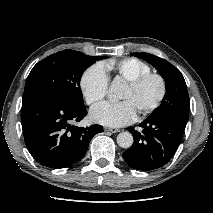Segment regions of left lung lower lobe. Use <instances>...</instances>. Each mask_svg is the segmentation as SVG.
<instances>
[{"label":"left lung lower lobe","mask_w":213,"mask_h":213,"mask_svg":"<svg viewBox=\"0 0 213 213\" xmlns=\"http://www.w3.org/2000/svg\"><path fill=\"white\" fill-rule=\"evenodd\" d=\"M188 119L167 114L144 120L137 131L134 127L128 130L134 137L132 147L123 153L129 166L136 170L149 171L169 162L177 150Z\"/></svg>","instance_id":"left-lung-lower-lobe-1"}]
</instances>
